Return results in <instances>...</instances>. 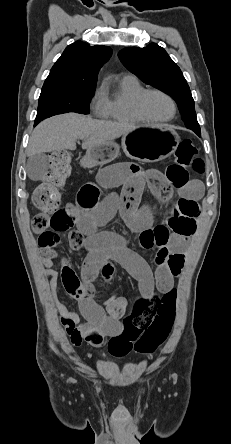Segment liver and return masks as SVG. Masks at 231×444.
Masks as SVG:
<instances>
[{"label": "liver", "instance_id": "obj_1", "mask_svg": "<svg viewBox=\"0 0 231 444\" xmlns=\"http://www.w3.org/2000/svg\"><path fill=\"white\" fill-rule=\"evenodd\" d=\"M135 125L94 120L77 113L57 115L42 121L33 131L27 148L28 156L75 150L76 140L83 141L86 151L104 145L130 132Z\"/></svg>", "mask_w": 231, "mask_h": 444}]
</instances>
